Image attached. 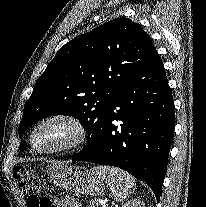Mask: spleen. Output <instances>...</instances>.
I'll return each instance as SVG.
<instances>
[{
    "label": "spleen",
    "mask_w": 206,
    "mask_h": 207,
    "mask_svg": "<svg viewBox=\"0 0 206 207\" xmlns=\"http://www.w3.org/2000/svg\"><path fill=\"white\" fill-rule=\"evenodd\" d=\"M91 170L109 186L115 201L122 202L134 192L135 179L127 172L109 166H96Z\"/></svg>",
    "instance_id": "3e777b00"
}]
</instances>
